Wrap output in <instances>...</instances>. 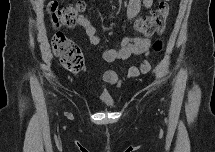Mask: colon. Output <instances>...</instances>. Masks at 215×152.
Segmentation results:
<instances>
[{"mask_svg": "<svg viewBox=\"0 0 215 152\" xmlns=\"http://www.w3.org/2000/svg\"><path fill=\"white\" fill-rule=\"evenodd\" d=\"M84 8L85 4L81 1L75 3L73 6L64 8H59L56 1H49L47 4V12L55 28L74 26ZM169 12V2H160L157 9L150 15L135 20L136 30L145 36L162 32L165 28ZM52 47L55 54L60 58L63 67L69 72L78 73L83 68L84 60L81 49L64 34L58 33L53 37ZM153 48L157 52L160 51L162 42L160 40L156 41Z\"/></svg>", "mask_w": 215, "mask_h": 152, "instance_id": "colon-1", "label": "colon"}]
</instances>
